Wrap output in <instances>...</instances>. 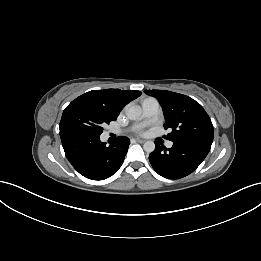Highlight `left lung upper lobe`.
Segmentation results:
<instances>
[{
	"label": "left lung upper lobe",
	"mask_w": 261,
	"mask_h": 261,
	"mask_svg": "<svg viewBox=\"0 0 261 261\" xmlns=\"http://www.w3.org/2000/svg\"><path fill=\"white\" fill-rule=\"evenodd\" d=\"M161 104L166 123L170 129L166 139L174 141H194L212 144L213 125L203 107L194 99L166 90H146Z\"/></svg>",
	"instance_id": "obj_1"
}]
</instances>
